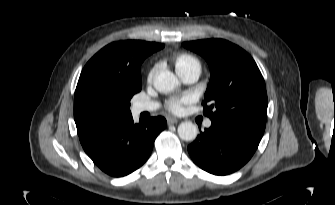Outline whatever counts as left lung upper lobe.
I'll list each match as a JSON object with an SVG mask.
<instances>
[{"mask_svg":"<svg viewBox=\"0 0 335 205\" xmlns=\"http://www.w3.org/2000/svg\"><path fill=\"white\" fill-rule=\"evenodd\" d=\"M182 45L199 53L209 64L211 77L202 103L203 114L210 119H229L264 131L267 93L253 58L223 39L190 41Z\"/></svg>","mask_w":335,"mask_h":205,"instance_id":"obj_1","label":"left lung upper lobe"}]
</instances>
